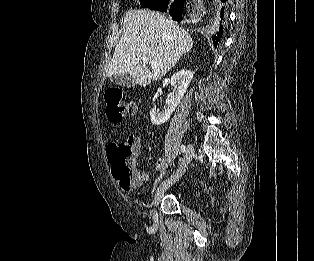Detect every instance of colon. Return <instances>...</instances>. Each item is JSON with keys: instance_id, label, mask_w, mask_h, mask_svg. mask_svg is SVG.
Segmentation results:
<instances>
[{"instance_id": "5ec220e1", "label": "colon", "mask_w": 314, "mask_h": 261, "mask_svg": "<svg viewBox=\"0 0 314 261\" xmlns=\"http://www.w3.org/2000/svg\"><path fill=\"white\" fill-rule=\"evenodd\" d=\"M106 115L113 123H119L135 111V105L126 97L121 88H110L105 92ZM136 143L132 137L121 142L109 144L107 153L111 164L112 174L122 189L129 190L141 183V175L133 164Z\"/></svg>"}]
</instances>
